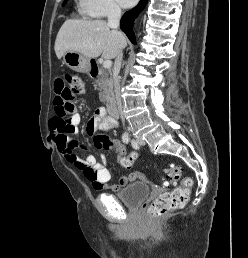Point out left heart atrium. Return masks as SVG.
<instances>
[{"instance_id":"left-heart-atrium-1","label":"left heart atrium","mask_w":248,"mask_h":258,"mask_svg":"<svg viewBox=\"0 0 248 258\" xmlns=\"http://www.w3.org/2000/svg\"><path fill=\"white\" fill-rule=\"evenodd\" d=\"M119 4L125 8L133 6L137 0H118Z\"/></svg>"}]
</instances>
